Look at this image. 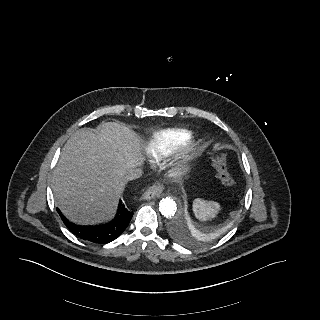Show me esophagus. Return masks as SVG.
Here are the masks:
<instances>
[{
  "instance_id": "obj_1",
  "label": "esophagus",
  "mask_w": 320,
  "mask_h": 320,
  "mask_svg": "<svg viewBox=\"0 0 320 320\" xmlns=\"http://www.w3.org/2000/svg\"><path fill=\"white\" fill-rule=\"evenodd\" d=\"M163 185L161 183H154L143 193L144 200H151L161 196L163 192Z\"/></svg>"
}]
</instances>
